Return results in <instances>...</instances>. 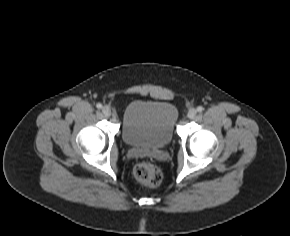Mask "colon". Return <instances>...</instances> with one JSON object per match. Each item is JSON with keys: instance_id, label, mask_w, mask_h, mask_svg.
Listing matches in <instances>:
<instances>
[{"instance_id": "obj_1", "label": "colon", "mask_w": 290, "mask_h": 236, "mask_svg": "<svg viewBox=\"0 0 290 236\" xmlns=\"http://www.w3.org/2000/svg\"><path fill=\"white\" fill-rule=\"evenodd\" d=\"M135 178L143 185L157 187L162 182V172L160 168L150 162H140L134 169Z\"/></svg>"}]
</instances>
